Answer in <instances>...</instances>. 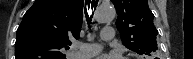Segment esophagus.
Returning <instances> with one entry per match:
<instances>
[{
  "label": "esophagus",
  "instance_id": "34e87169",
  "mask_svg": "<svg viewBox=\"0 0 193 59\" xmlns=\"http://www.w3.org/2000/svg\"><path fill=\"white\" fill-rule=\"evenodd\" d=\"M90 3V12L92 11V10H94V8H95V5H99V0H89V1H87V3ZM91 5H93V9L91 10Z\"/></svg>",
  "mask_w": 193,
  "mask_h": 59
}]
</instances>
